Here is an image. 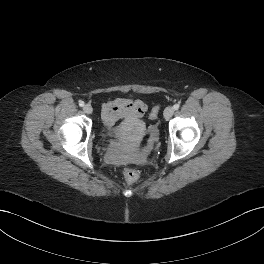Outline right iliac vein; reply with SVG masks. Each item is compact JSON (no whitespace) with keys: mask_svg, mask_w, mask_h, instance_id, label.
Segmentation results:
<instances>
[{"mask_svg":"<svg viewBox=\"0 0 264 264\" xmlns=\"http://www.w3.org/2000/svg\"><path fill=\"white\" fill-rule=\"evenodd\" d=\"M83 111H84L86 114H91V113L93 112V109H92L91 105L86 104V105L83 107Z\"/></svg>","mask_w":264,"mask_h":264,"instance_id":"1","label":"right iliac vein"}]
</instances>
